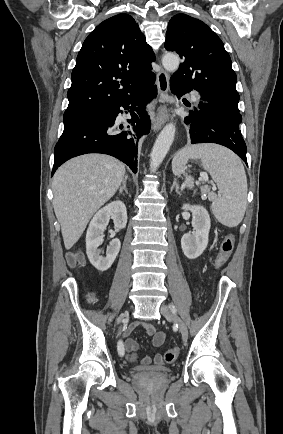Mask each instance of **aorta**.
Returning a JSON list of instances; mask_svg holds the SVG:
<instances>
[{"label": "aorta", "instance_id": "1", "mask_svg": "<svg viewBox=\"0 0 283 434\" xmlns=\"http://www.w3.org/2000/svg\"><path fill=\"white\" fill-rule=\"evenodd\" d=\"M162 64L167 71L175 72L179 67L180 59L176 54L167 53L162 59ZM175 130V125L173 123H169L159 133L150 155L151 172H155L165 158L170 146L173 143Z\"/></svg>", "mask_w": 283, "mask_h": 434}]
</instances>
